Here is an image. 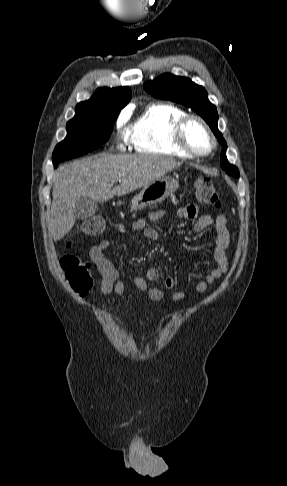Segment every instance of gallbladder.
<instances>
[{"mask_svg":"<svg viewBox=\"0 0 287 486\" xmlns=\"http://www.w3.org/2000/svg\"><path fill=\"white\" fill-rule=\"evenodd\" d=\"M98 202L90 197L82 196L75 204L74 213L77 219L84 220L98 211Z\"/></svg>","mask_w":287,"mask_h":486,"instance_id":"1","label":"gallbladder"}]
</instances>
